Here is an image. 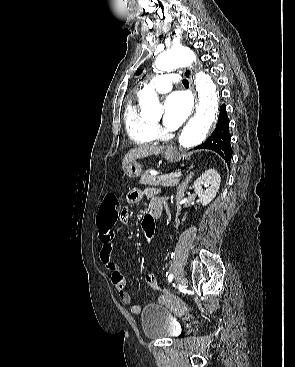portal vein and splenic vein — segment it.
<instances>
[{"mask_svg": "<svg viewBox=\"0 0 295 367\" xmlns=\"http://www.w3.org/2000/svg\"><path fill=\"white\" fill-rule=\"evenodd\" d=\"M177 176H181V174H175ZM161 178H166V175H162Z\"/></svg>", "mask_w": 295, "mask_h": 367, "instance_id": "portal-vein-and-splenic-vein-1", "label": "portal vein and splenic vein"}]
</instances>
